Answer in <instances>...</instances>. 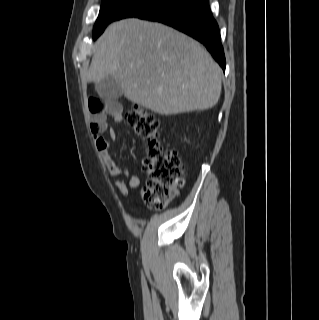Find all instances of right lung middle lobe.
Returning a JSON list of instances; mask_svg holds the SVG:
<instances>
[{"mask_svg":"<svg viewBox=\"0 0 319 320\" xmlns=\"http://www.w3.org/2000/svg\"><path fill=\"white\" fill-rule=\"evenodd\" d=\"M172 0H102L99 16L94 25L93 37L97 38L114 20L137 17L150 9L165 5Z\"/></svg>","mask_w":319,"mask_h":320,"instance_id":"obj_1","label":"right lung middle lobe"}]
</instances>
